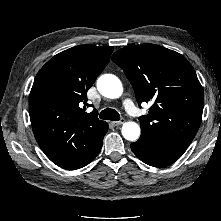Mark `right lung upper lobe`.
<instances>
[{
    "label": "right lung upper lobe",
    "instance_id": "obj_1",
    "mask_svg": "<svg viewBox=\"0 0 221 221\" xmlns=\"http://www.w3.org/2000/svg\"><path fill=\"white\" fill-rule=\"evenodd\" d=\"M113 47L79 45L51 58L35 77L29 114L34 136L56 165L79 169L91 157L106 122L85 113L86 93L108 64ZM84 105V106H83Z\"/></svg>",
    "mask_w": 221,
    "mask_h": 221
}]
</instances>
